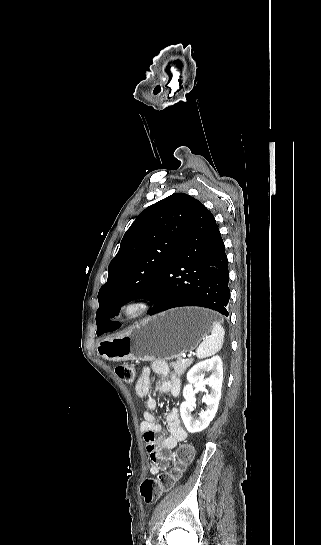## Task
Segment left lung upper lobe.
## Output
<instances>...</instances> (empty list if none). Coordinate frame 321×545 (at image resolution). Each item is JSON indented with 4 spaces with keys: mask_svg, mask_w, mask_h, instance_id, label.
<instances>
[{
    "mask_svg": "<svg viewBox=\"0 0 321 545\" xmlns=\"http://www.w3.org/2000/svg\"><path fill=\"white\" fill-rule=\"evenodd\" d=\"M200 201L174 193L143 210L124 234L99 293L97 334L110 315L135 298L149 300L167 270L179 239Z\"/></svg>",
    "mask_w": 321,
    "mask_h": 545,
    "instance_id": "1",
    "label": "left lung upper lobe"
}]
</instances>
